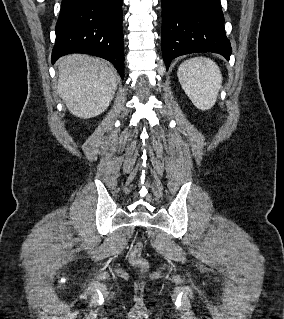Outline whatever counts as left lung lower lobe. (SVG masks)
Listing matches in <instances>:
<instances>
[{
	"label": "left lung lower lobe",
	"instance_id": "0a47b994",
	"mask_svg": "<svg viewBox=\"0 0 284 319\" xmlns=\"http://www.w3.org/2000/svg\"><path fill=\"white\" fill-rule=\"evenodd\" d=\"M163 59L184 54L214 52L229 59L231 44L224 30L220 0H161Z\"/></svg>",
	"mask_w": 284,
	"mask_h": 319
}]
</instances>
